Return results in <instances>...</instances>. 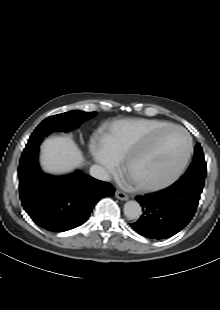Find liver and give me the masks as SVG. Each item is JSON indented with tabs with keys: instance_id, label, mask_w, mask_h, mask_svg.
<instances>
[{
	"instance_id": "6515ba94",
	"label": "liver",
	"mask_w": 220,
	"mask_h": 310,
	"mask_svg": "<svg viewBox=\"0 0 220 310\" xmlns=\"http://www.w3.org/2000/svg\"><path fill=\"white\" fill-rule=\"evenodd\" d=\"M41 165L50 173H65L83 164L84 157L75 142L62 136L44 141L41 148Z\"/></svg>"
}]
</instances>
